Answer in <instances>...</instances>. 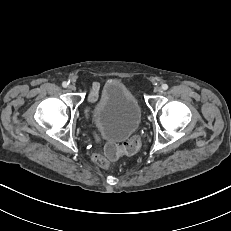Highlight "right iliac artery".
<instances>
[{
	"instance_id": "1",
	"label": "right iliac artery",
	"mask_w": 231,
	"mask_h": 231,
	"mask_svg": "<svg viewBox=\"0 0 231 231\" xmlns=\"http://www.w3.org/2000/svg\"><path fill=\"white\" fill-rule=\"evenodd\" d=\"M62 86H63L64 88H66V87L68 86V82L64 81V82L62 83Z\"/></svg>"
}]
</instances>
